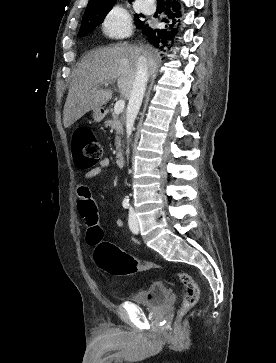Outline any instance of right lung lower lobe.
Here are the masks:
<instances>
[{"mask_svg": "<svg viewBox=\"0 0 276 363\" xmlns=\"http://www.w3.org/2000/svg\"><path fill=\"white\" fill-rule=\"evenodd\" d=\"M166 6L165 13L170 22V24L166 26V29H154L149 27L148 24L144 25L143 23L139 26L153 46L162 51H164L166 47L169 48L170 43H172L177 36L181 18V5L178 0H167ZM165 22H168V20H165Z\"/></svg>", "mask_w": 276, "mask_h": 363, "instance_id": "obj_1", "label": "right lung lower lobe"}]
</instances>
